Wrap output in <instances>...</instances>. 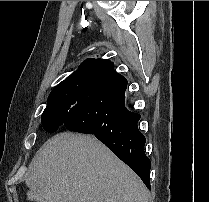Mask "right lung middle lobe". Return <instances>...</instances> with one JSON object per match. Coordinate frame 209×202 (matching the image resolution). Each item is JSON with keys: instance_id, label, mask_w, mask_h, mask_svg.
Instances as JSON below:
<instances>
[{"instance_id": "dd1d6c3e", "label": "right lung middle lobe", "mask_w": 209, "mask_h": 202, "mask_svg": "<svg viewBox=\"0 0 209 202\" xmlns=\"http://www.w3.org/2000/svg\"><path fill=\"white\" fill-rule=\"evenodd\" d=\"M91 79L88 74L76 75L66 78L51 91L41 117L45 131L56 132L63 127L64 121L77 111L80 92Z\"/></svg>"}]
</instances>
